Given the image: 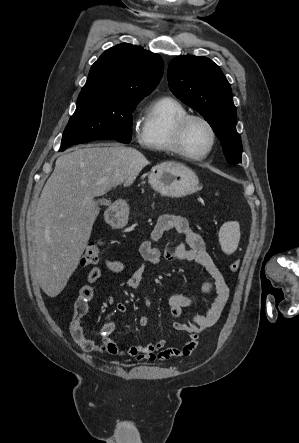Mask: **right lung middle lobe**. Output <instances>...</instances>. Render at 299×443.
<instances>
[{"mask_svg": "<svg viewBox=\"0 0 299 443\" xmlns=\"http://www.w3.org/2000/svg\"><path fill=\"white\" fill-rule=\"evenodd\" d=\"M139 102L115 96L79 94L76 110L64 130L60 151L73 144L100 139L129 143L132 112Z\"/></svg>", "mask_w": 299, "mask_h": 443, "instance_id": "1", "label": "right lung middle lobe"}]
</instances>
